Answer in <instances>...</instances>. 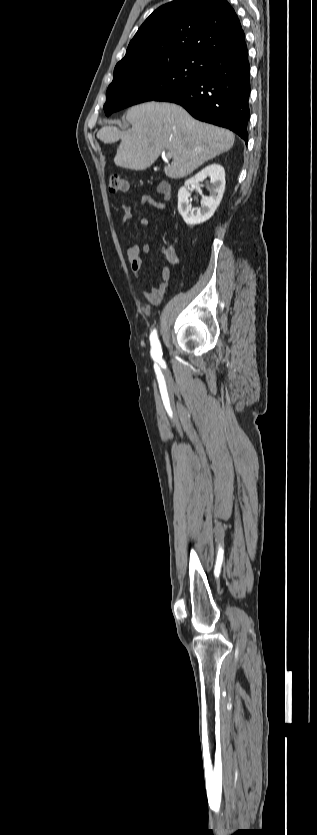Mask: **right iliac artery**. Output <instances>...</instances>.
<instances>
[{
	"label": "right iliac artery",
	"mask_w": 317,
	"mask_h": 835,
	"mask_svg": "<svg viewBox=\"0 0 317 835\" xmlns=\"http://www.w3.org/2000/svg\"><path fill=\"white\" fill-rule=\"evenodd\" d=\"M150 341H151V356H152L153 359H159L162 355V352H161V346H160V342H159L158 337H157L156 330H153V332L151 333Z\"/></svg>",
	"instance_id": "obj_1"
}]
</instances>
